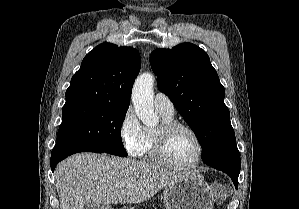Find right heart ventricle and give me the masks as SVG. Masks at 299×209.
Wrapping results in <instances>:
<instances>
[{"label": "right heart ventricle", "mask_w": 299, "mask_h": 209, "mask_svg": "<svg viewBox=\"0 0 299 209\" xmlns=\"http://www.w3.org/2000/svg\"><path fill=\"white\" fill-rule=\"evenodd\" d=\"M162 116L163 122H171L173 121V116L168 117L160 114ZM146 141L143 148L142 155H147L149 158L154 159L151 153L152 150V132L149 130L145 131Z\"/></svg>", "instance_id": "1"}]
</instances>
